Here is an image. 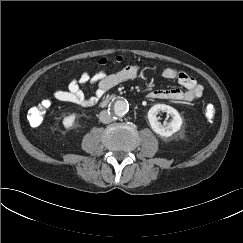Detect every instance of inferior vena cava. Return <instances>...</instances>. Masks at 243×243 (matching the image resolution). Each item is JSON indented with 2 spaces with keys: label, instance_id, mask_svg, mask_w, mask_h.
<instances>
[{
  "label": "inferior vena cava",
  "instance_id": "1",
  "mask_svg": "<svg viewBox=\"0 0 243 243\" xmlns=\"http://www.w3.org/2000/svg\"><path fill=\"white\" fill-rule=\"evenodd\" d=\"M99 120L102 123L108 124V123H111L113 121V117H112V115L109 111L103 110L99 114Z\"/></svg>",
  "mask_w": 243,
  "mask_h": 243
}]
</instances>
